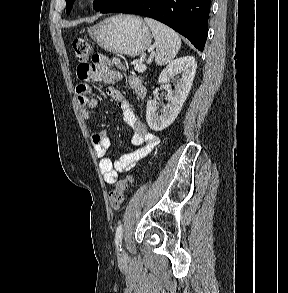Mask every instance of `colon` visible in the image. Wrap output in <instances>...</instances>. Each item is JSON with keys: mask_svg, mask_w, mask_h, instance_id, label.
<instances>
[{"mask_svg": "<svg viewBox=\"0 0 288 293\" xmlns=\"http://www.w3.org/2000/svg\"><path fill=\"white\" fill-rule=\"evenodd\" d=\"M73 50L76 59L80 64L87 65L88 61L93 58L94 52L92 45L81 38L73 41ZM134 175H129L120 180L116 187L109 194V202L113 209L119 210L124 202V194L129 185L133 182Z\"/></svg>", "mask_w": 288, "mask_h": 293, "instance_id": "obj_1", "label": "colon"}]
</instances>
